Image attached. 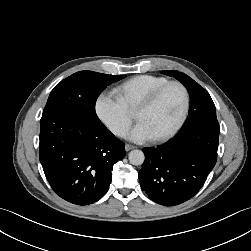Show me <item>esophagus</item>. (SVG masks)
<instances>
[{
  "label": "esophagus",
  "instance_id": "obj_1",
  "mask_svg": "<svg viewBox=\"0 0 251 251\" xmlns=\"http://www.w3.org/2000/svg\"><path fill=\"white\" fill-rule=\"evenodd\" d=\"M135 148V146H133V145H130V144H126L125 145V150L126 151H130V150H132V149H134Z\"/></svg>",
  "mask_w": 251,
  "mask_h": 251
}]
</instances>
